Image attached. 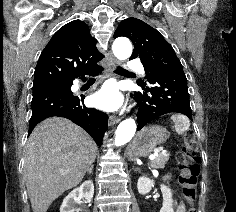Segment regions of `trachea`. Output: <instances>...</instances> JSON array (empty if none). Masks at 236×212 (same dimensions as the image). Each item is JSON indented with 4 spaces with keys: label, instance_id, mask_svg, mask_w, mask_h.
<instances>
[{
    "label": "trachea",
    "instance_id": "1",
    "mask_svg": "<svg viewBox=\"0 0 236 212\" xmlns=\"http://www.w3.org/2000/svg\"><path fill=\"white\" fill-rule=\"evenodd\" d=\"M115 72H117V73H126V72H128V71L125 70V69H123V68H121V67H117V68L115 69Z\"/></svg>",
    "mask_w": 236,
    "mask_h": 212
}]
</instances>
